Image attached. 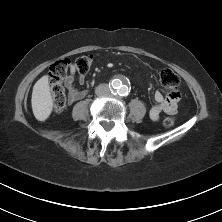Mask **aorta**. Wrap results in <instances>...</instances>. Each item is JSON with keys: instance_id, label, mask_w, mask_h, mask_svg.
Instances as JSON below:
<instances>
[{"instance_id": "obj_1", "label": "aorta", "mask_w": 222, "mask_h": 222, "mask_svg": "<svg viewBox=\"0 0 222 222\" xmlns=\"http://www.w3.org/2000/svg\"><path fill=\"white\" fill-rule=\"evenodd\" d=\"M111 87L120 96H125L129 92L128 85L122 79H113L111 82Z\"/></svg>"}]
</instances>
